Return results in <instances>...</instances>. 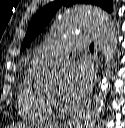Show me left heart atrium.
Returning a JSON list of instances; mask_svg holds the SVG:
<instances>
[{"label": "left heart atrium", "instance_id": "1", "mask_svg": "<svg viewBox=\"0 0 125 128\" xmlns=\"http://www.w3.org/2000/svg\"><path fill=\"white\" fill-rule=\"evenodd\" d=\"M93 82V72L86 63H69L60 74V97L74 103L82 99L89 91Z\"/></svg>", "mask_w": 125, "mask_h": 128}]
</instances>
